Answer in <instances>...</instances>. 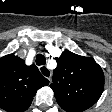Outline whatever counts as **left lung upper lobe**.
Wrapping results in <instances>:
<instances>
[{
	"instance_id": "1",
	"label": "left lung upper lobe",
	"mask_w": 112,
	"mask_h": 112,
	"mask_svg": "<svg viewBox=\"0 0 112 112\" xmlns=\"http://www.w3.org/2000/svg\"><path fill=\"white\" fill-rule=\"evenodd\" d=\"M53 71V89L59 106L66 112H83L100 98L104 74L92 58L62 52Z\"/></svg>"
}]
</instances>
